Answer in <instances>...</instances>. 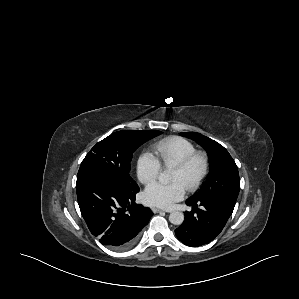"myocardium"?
Listing matches in <instances>:
<instances>
[{"instance_id": "f54148a6", "label": "myocardium", "mask_w": 299, "mask_h": 299, "mask_svg": "<svg viewBox=\"0 0 299 299\" xmlns=\"http://www.w3.org/2000/svg\"><path fill=\"white\" fill-rule=\"evenodd\" d=\"M196 161L201 162V171L196 179L186 186L189 191L197 190L208 176L210 170V159L208 154L204 151H195L173 166V169L175 170L186 172Z\"/></svg>"}]
</instances>
